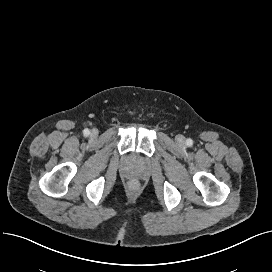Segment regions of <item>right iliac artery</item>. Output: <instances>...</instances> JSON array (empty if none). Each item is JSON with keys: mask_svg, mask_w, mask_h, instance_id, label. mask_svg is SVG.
<instances>
[{"mask_svg": "<svg viewBox=\"0 0 272 272\" xmlns=\"http://www.w3.org/2000/svg\"><path fill=\"white\" fill-rule=\"evenodd\" d=\"M83 134H84L85 136H88V135L90 134L89 129H84Z\"/></svg>", "mask_w": 272, "mask_h": 272, "instance_id": "obj_1", "label": "right iliac artery"}]
</instances>
